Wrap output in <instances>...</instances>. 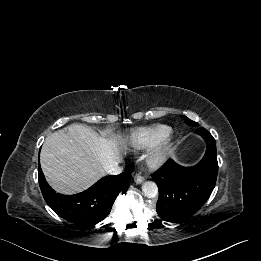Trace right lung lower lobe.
<instances>
[{
	"label": "right lung lower lobe",
	"instance_id": "1",
	"mask_svg": "<svg viewBox=\"0 0 261 261\" xmlns=\"http://www.w3.org/2000/svg\"><path fill=\"white\" fill-rule=\"evenodd\" d=\"M38 178L43 197L53 211L72 223L93 226L110 213L116 197L126 189L129 175L123 172L103 177L89 189L75 195L56 194L46 182L40 166Z\"/></svg>",
	"mask_w": 261,
	"mask_h": 261
}]
</instances>
